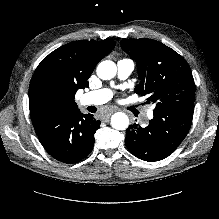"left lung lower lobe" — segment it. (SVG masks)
<instances>
[{"mask_svg": "<svg viewBox=\"0 0 219 219\" xmlns=\"http://www.w3.org/2000/svg\"><path fill=\"white\" fill-rule=\"evenodd\" d=\"M194 106L178 110L155 111L150 124L142 128L130 125L125 145L137 158L159 161L169 156L186 137L193 118Z\"/></svg>", "mask_w": 219, "mask_h": 219, "instance_id": "0a47b994", "label": "left lung lower lobe"}]
</instances>
